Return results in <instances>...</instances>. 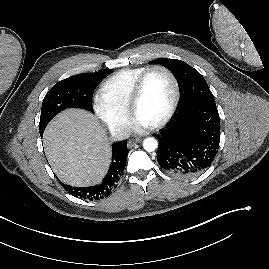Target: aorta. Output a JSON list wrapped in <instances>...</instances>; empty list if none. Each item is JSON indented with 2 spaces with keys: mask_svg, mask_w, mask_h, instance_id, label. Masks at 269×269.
Segmentation results:
<instances>
[{
  "mask_svg": "<svg viewBox=\"0 0 269 269\" xmlns=\"http://www.w3.org/2000/svg\"><path fill=\"white\" fill-rule=\"evenodd\" d=\"M158 147V142L155 138L153 137H148L145 138L143 141V148L148 151V152H152L155 151Z\"/></svg>",
  "mask_w": 269,
  "mask_h": 269,
  "instance_id": "obj_1",
  "label": "aorta"
}]
</instances>
